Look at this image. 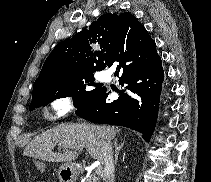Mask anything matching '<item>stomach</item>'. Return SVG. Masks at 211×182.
I'll list each match as a JSON object with an SVG mask.
<instances>
[{
	"mask_svg": "<svg viewBox=\"0 0 211 182\" xmlns=\"http://www.w3.org/2000/svg\"><path fill=\"white\" fill-rule=\"evenodd\" d=\"M78 176V170L72 163H64L58 171L60 182H75Z\"/></svg>",
	"mask_w": 211,
	"mask_h": 182,
	"instance_id": "stomach-1",
	"label": "stomach"
}]
</instances>
